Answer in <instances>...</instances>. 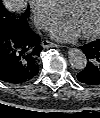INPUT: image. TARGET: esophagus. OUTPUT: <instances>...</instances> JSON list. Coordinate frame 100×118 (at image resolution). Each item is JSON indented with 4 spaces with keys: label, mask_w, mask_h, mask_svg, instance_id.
<instances>
[{
    "label": "esophagus",
    "mask_w": 100,
    "mask_h": 118,
    "mask_svg": "<svg viewBox=\"0 0 100 118\" xmlns=\"http://www.w3.org/2000/svg\"><path fill=\"white\" fill-rule=\"evenodd\" d=\"M41 46H42L43 48H52V47H57L58 45L55 44V43H52V42H50V41H48V40H43V41L41 42Z\"/></svg>",
    "instance_id": "34e87169"
}]
</instances>
